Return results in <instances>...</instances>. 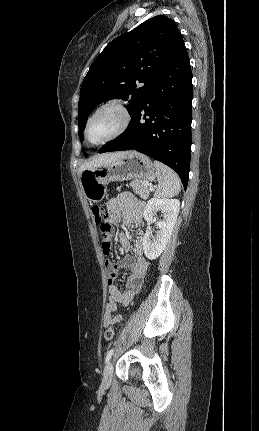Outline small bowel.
Masks as SVG:
<instances>
[{
  "label": "small bowel",
  "instance_id": "small-bowel-1",
  "mask_svg": "<svg viewBox=\"0 0 259 431\" xmlns=\"http://www.w3.org/2000/svg\"><path fill=\"white\" fill-rule=\"evenodd\" d=\"M143 202L130 193H123L110 199L107 203L108 219L112 223L122 222L133 229V242L125 234L119 235L122 248L131 251L133 255L123 261L114 263L106 260L109 302L104 313V326L117 325L122 316L117 312L119 306H127L141 287L142 279L147 270V260L143 253V242L140 225L142 222ZM122 270L128 272L126 289H119L114 281Z\"/></svg>",
  "mask_w": 259,
  "mask_h": 431
}]
</instances>
